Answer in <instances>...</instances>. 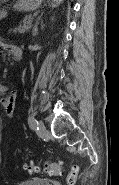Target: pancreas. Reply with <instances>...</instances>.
Masks as SVG:
<instances>
[{
  "label": "pancreas",
  "instance_id": "cf45deb5",
  "mask_svg": "<svg viewBox=\"0 0 119 185\" xmlns=\"http://www.w3.org/2000/svg\"><path fill=\"white\" fill-rule=\"evenodd\" d=\"M32 21H33L32 15L26 16L23 25L16 28L14 32L24 33L25 31H28L32 26Z\"/></svg>",
  "mask_w": 119,
  "mask_h": 185
}]
</instances>
